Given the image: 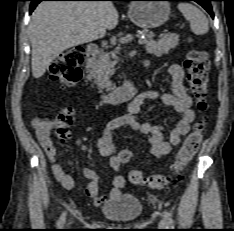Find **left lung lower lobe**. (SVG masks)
<instances>
[{
	"label": "left lung lower lobe",
	"instance_id": "obj_1",
	"mask_svg": "<svg viewBox=\"0 0 234 231\" xmlns=\"http://www.w3.org/2000/svg\"><path fill=\"white\" fill-rule=\"evenodd\" d=\"M124 1H133V0H124ZM169 1H195L200 4L210 15L214 18L212 7L210 2L214 0H169Z\"/></svg>",
	"mask_w": 234,
	"mask_h": 231
}]
</instances>
